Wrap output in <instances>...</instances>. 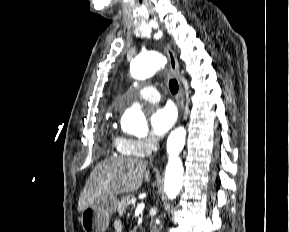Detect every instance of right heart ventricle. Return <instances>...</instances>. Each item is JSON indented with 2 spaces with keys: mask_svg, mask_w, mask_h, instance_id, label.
I'll use <instances>...</instances> for the list:
<instances>
[{
  "mask_svg": "<svg viewBox=\"0 0 289 232\" xmlns=\"http://www.w3.org/2000/svg\"><path fill=\"white\" fill-rule=\"evenodd\" d=\"M111 144L118 153L124 156H132L126 149V138L116 134H111Z\"/></svg>",
  "mask_w": 289,
  "mask_h": 232,
  "instance_id": "right-heart-ventricle-1",
  "label": "right heart ventricle"
}]
</instances>
